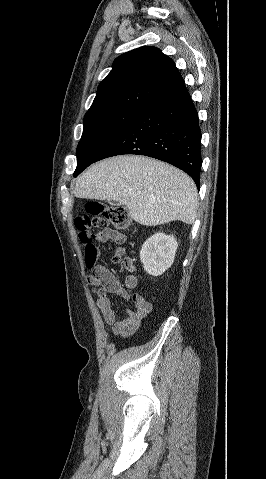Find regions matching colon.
<instances>
[{
	"label": "colon",
	"instance_id": "obj_1",
	"mask_svg": "<svg viewBox=\"0 0 266 479\" xmlns=\"http://www.w3.org/2000/svg\"><path fill=\"white\" fill-rule=\"evenodd\" d=\"M129 216L125 208L109 206L101 202L90 200L85 204V213L77 216L76 227L79 230L80 240L84 246L85 266L91 269L97 260L100 250L92 242L95 230H106L124 235L128 229ZM115 262L126 269L132 268L131 260L119 251ZM92 281V280H91Z\"/></svg>",
	"mask_w": 266,
	"mask_h": 479
}]
</instances>
